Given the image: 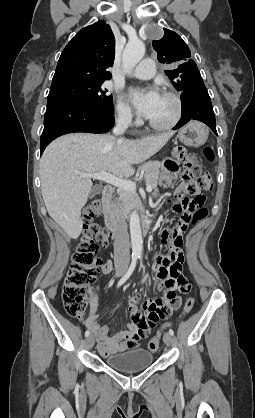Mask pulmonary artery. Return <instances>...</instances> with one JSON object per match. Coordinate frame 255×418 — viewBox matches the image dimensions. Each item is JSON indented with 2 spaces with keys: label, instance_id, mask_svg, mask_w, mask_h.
I'll list each match as a JSON object with an SVG mask.
<instances>
[{
  "label": "pulmonary artery",
  "instance_id": "1",
  "mask_svg": "<svg viewBox=\"0 0 255 418\" xmlns=\"http://www.w3.org/2000/svg\"><path fill=\"white\" fill-rule=\"evenodd\" d=\"M155 75V63L152 59H143L133 70L132 76L138 79H150Z\"/></svg>",
  "mask_w": 255,
  "mask_h": 418
}]
</instances>
